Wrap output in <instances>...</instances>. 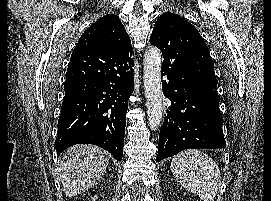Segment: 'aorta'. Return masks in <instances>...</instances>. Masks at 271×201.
<instances>
[{
  "instance_id": "aorta-1",
  "label": "aorta",
  "mask_w": 271,
  "mask_h": 201,
  "mask_svg": "<svg viewBox=\"0 0 271 201\" xmlns=\"http://www.w3.org/2000/svg\"><path fill=\"white\" fill-rule=\"evenodd\" d=\"M143 82L146 97L148 123L155 130L162 122L161 53L151 46L143 60Z\"/></svg>"
}]
</instances>
